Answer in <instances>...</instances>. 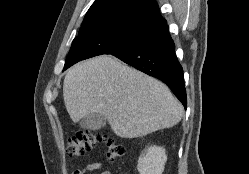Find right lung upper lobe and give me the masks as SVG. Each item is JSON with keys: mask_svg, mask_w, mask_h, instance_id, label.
Wrapping results in <instances>:
<instances>
[{"mask_svg": "<svg viewBox=\"0 0 249 174\" xmlns=\"http://www.w3.org/2000/svg\"><path fill=\"white\" fill-rule=\"evenodd\" d=\"M163 20L155 0H96L86 13L80 31L119 23L151 26Z\"/></svg>", "mask_w": 249, "mask_h": 174, "instance_id": "right-lung-upper-lobe-1", "label": "right lung upper lobe"}]
</instances>
